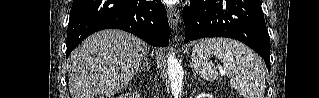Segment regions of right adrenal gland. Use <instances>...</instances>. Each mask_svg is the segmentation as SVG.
<instances>
[{
  "label": "right adrenal gland",
  "instance_id": "obj_1",
  "mask_svg": "<svg viewBox=\"0 0 319 98\" xmlns=\"http://www.w3.org/2000/svg\"><path fill=\"white\" fill-rule=\"evenodd\" d=\"M147 68L149 69V61H148V58H147V55L145 54L144 56V62H143V65L140 67V70H142L143 68Z\"/></svg>",
  "mask_w": 319,
  "mask_h": 98
}]
</instances>
